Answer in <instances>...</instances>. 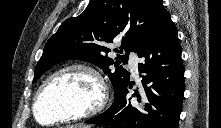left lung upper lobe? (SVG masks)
<instances>
[{
  "instance_id": "obj_1",
  "label": "left lung upper lobe",
  "mask_w": 221,
  "mask_h": 128,
  "mask_svg": "<svg viewBox=\"0 0 221 128\" xmlns=\"http://www.w3.org/2000/svg\"><path fill=\"white\" fill-rule=\"evenodd\" d=\"M168 14L162 0H90L81 15L67 19L47 41L33 82L52 66L79 59L96 64L109 74L116 96L130 78L120 63H127L129 51L137 52ZM113 41H121L120 51L115 49L119 53L116 62L106 56ZM111 65L118 67L111 71Z\"/></svg>"
}]
</instances>
